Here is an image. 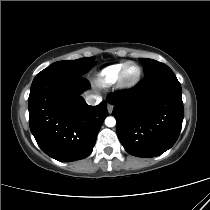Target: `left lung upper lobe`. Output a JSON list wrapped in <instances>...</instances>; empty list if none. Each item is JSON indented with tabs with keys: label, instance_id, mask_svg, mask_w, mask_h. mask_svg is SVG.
Segmentation results:
<instances>
[{
	"label": "left lung upper lobe",
	"instance_id": "5c2ea615",
	"mask_svg": "<svg viewBox=\"0 0 210 210\" xmlns=\"http://www.w3.org/2000/svg\"><path fill=\"white\" fill-rule=\"evenodd\" d=\"M139 60L144 66L145 77L151 75L152 73H154L158 70L168 67L167 65H165L161 62H158L156 60H153V59L140 58Z\"/></svg>",
	"mask_w": 210,
	"mask_h": 210
}]
</instances>
